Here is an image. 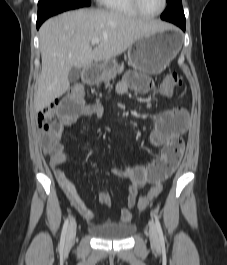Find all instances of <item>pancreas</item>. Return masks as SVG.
<instances>
[{"label": "pancreas", "instance_id": "cf45deb5", "mask_svg": "<svg viewBox=\"0 0 227 265\" xmlns=\"http://www.w3.org/2000/svg\"><path fill=\"white\" fill-rule=\"evenodd\" d=\"M124 70V65L121 64L114 73H110L108 77H106L104 79V81L106 83H108L111 79H113L116 76V73H122V71Z\"/></svg>", "mask_w": 227, "mask_h": 265}]
</instances>
